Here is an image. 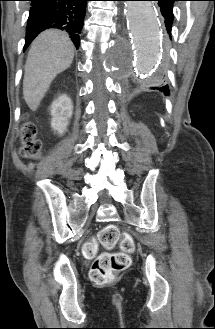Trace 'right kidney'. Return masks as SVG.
Segmentation results:
<instances>
[{"label": "right kidney", "mask_w": 215, "mask_h": 329, "mask_svg": "<svg viewBox=\"0 0 215 329\" xmlns=\"http://www.w3.org/2000/svg\"><path fill=\"white\" fill-rule=\"evenodd\" d=\"M73 113V103L66 95L59 96L51 105V127L59 135H63L69 125Z\"/></svg>", "instance_id": "obj_1"}]
</instances>
